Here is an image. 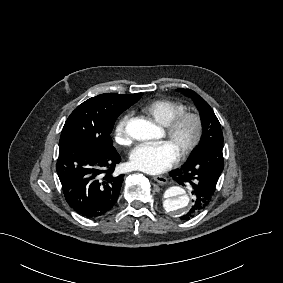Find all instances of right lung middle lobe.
<instances>
[{
    "instance_id": "right-lung-middle-lobe-1",
    "label": "right lung middle lobe",
    "mask_w": 283,
    "mask_h": 283,
    "mask_svg": "<svg viewBox=\"0 0 283 283\" xmlns=\"http://www.w3.org/2000/svg\"><path fill=\"white\" fill-rule=\"evenodd\" d=\"M143 93L101 94L79 105L68 117L60 136V145L83 142L97 150L114 149L110 133L117 117Z\"/></svg>"
}]
</instances>
